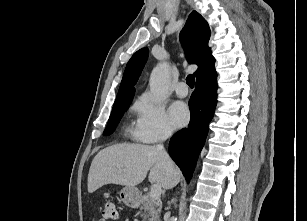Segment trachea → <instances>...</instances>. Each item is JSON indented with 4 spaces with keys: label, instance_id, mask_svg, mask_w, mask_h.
<instances>
[{
    "label": "trachea",
    "instance_id": "1",
    "mask_svg": "<svg viewBox=\"0 0 307 221\" xmlns=\"http://www.w3.org/2000/svg\"><path fill=\"white\" fill-rule=\"evenodd\" d=\"M186 83L188 84V86L190 88H193L194 87V84H195V78L193 75H188L187 78H186Z\"/></svg>",
    "mask_w": 307,
    "mask_h": 221
}]
</instances>
